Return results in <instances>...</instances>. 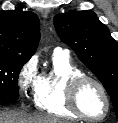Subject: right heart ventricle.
Instances as JSON below:
<instances>
[{"mask_svg": "<svg viewBox=\"0 0 118 123\" xmlns=\"http://www.w3.org/2000/svg\"><path fill=\"white\" fill-rule=\"evenodd\" d=\"M82 71L63 55L52 56V68L39 75L34 93V103L38 110L51 116L79 118L68 107L66 102L67 81Z\"/></svg>", "mask_w": 118, "mask_h": 123, "instance_id": "right-heart-ventricle-1", "label": "right heart ventricle"}]
</instances>
